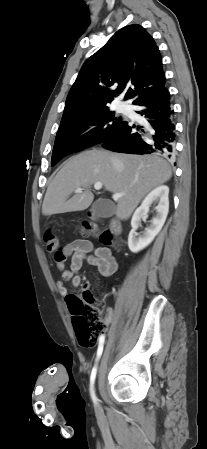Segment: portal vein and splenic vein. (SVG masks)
I'll use <instances>...</instances> for the list:
<instances>
[{"label": "portal vein and splenic vein", "mask_w": 207, "mask_h": 449, "mask_svg": "<svg viewBox=\"0 0 207 449\" xmlns=\"http://www.w3.org/2000/svg\"><path fill=\"white\" fill-rule=\"evenodd\" d=\"M102 186H103V184L101 183V182H95L94 183V188L96 189V190H100L101 188H102ZM75 192L76 193H81L82 192V188H77L76 190H75ZM124 194L123 193H115V194H113V196H112V198L114 199V200H118L120 197H122Z\"/></svg>", "instance_id": "1"}]
</instances>
